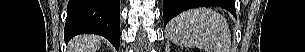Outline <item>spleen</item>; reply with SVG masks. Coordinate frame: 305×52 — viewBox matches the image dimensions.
Here are the masks:
<instances>
[{"label":"spleen","mask_w":305,"mask_h":52,"mask_svg":"<svg viewBox=\"0 0 305 52\" xmlns=\"http://www.w3.org/2000/svg\"><path fill=\"white\" fill-rule=\"evenodd\" d=\"M167 30L174 43L205 52H228L231 43L225 17L207 7L184 11L170 21Z\"/></svg>","instance_id":"spleen-1"}]
</instances>
